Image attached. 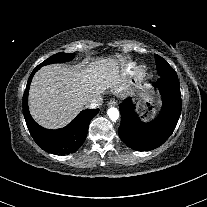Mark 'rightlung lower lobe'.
Returning a JSON list of instances; mask_svg holds the SVG:
<instances>
[{
  "label": "right lung lower lobe",
  "mask_w": 207,
  "mask_h": 207,
  "mask_svg": "<svg viewBox=\"0 0 207 207\" xmlns=\"http://www.w3.org/2000/svg\"><path fill=\"white\" fill-rule=\"evenodd\" d=\"M39 67L40 66H37L29 77L23 97V114L29 132L35 142L47 152L60 155L74 153L84 142L89 122L97 114L98 110L87 109L82 111L72 123L60 130L53 131L41 128L33 121L27 109L29 83L33 74Z\"/></svg>",
  "instance_id": "1"
}]
</instances>
